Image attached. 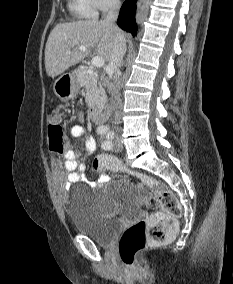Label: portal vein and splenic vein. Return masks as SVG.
I'll return each instance as SVG.
<instances>
[{"instance_id": "portal-vein-and-splenic-vein-1", "label": "portal vein and splenic vein", "mask_w": 233, "mask_h": 284, "mask_svg": "<svg viewBox=\"0 0 233 284\" xmlns=\"http://www.w3.org/2000/svg\"><path fill=\"white\" fill-rule=\"evenodd\" d=\"M77 49H79L80 51H86L87 50L86 46H84V45L78 46ZM91 63L94 67L98 68V67H103L104 64H105V61H104L103 58L97 56V57H94L92 59Z\"/></svg>"}]
</instances>
